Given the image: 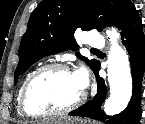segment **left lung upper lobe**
<instances>
[{
	"instance_id": "left-lung-upper-lobe-1",
	"label": "left lung upper lobe",
	"mask_w": 145,
	"mask_h": 124,
	"mask_svg": "<svg viewBox=\"0 0 145 124\" xmlns=\"http://www.w3.org/2000/svg\"><path fill=\"white\" fill-rule=\"evenodd\" d=\"M131 6L130 0H43L32 12L22 37L15 83L18 76L39 59L61 51L77 50L74 33L78 28L101 31L105 25L117 27ZM94 13L101 17L96 20ZM76 56L95 73L98 60H88L79 53Z\"/></svg>"
}]
</instances>
